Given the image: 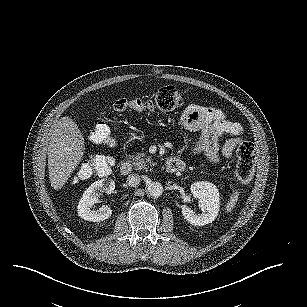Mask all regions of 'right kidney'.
Here are the masks:
<instances>
[{"mask_svg":"<svg viewBox=\"0 0 307 307\" xmlns=\"http://www.w3.org/2000/svg\"><path fill=\"white\" fill-rule=\"evenodd\" d=\"M114 189L115 181L111 178H103L92 183L78 203V216L90 222H101L108 219L112 215L110 207L103 205L98 210H93L92 207L99 201L101 193L111 194Z\"/></svg>","mask_w":307,"mask_h":307,"instance_id":"right-kidney-1","label":"right kidney"}]
</instances>
